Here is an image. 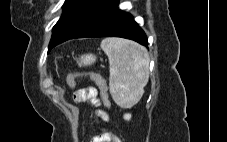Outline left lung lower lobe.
I'll use <instances>...</instances> for the list:
<instances>
[{"instance_id":"obj_1","label":"left lung lower lobe","mask_w":227,"mask_h":142,"mask_svg":"<svg viewBox=\"0 0 227 142\" xmlns=\"http://www.w3.org/2000/svg\"><path fill=\"white\" fill-rule=\"evenodd\" d=\"M118 2V0H111L102 11L70 39L85 37H122L134 40L147 47L148 41L144 31L134 21L132 15L119 10Z\"/></svg>"}]
</instances>
